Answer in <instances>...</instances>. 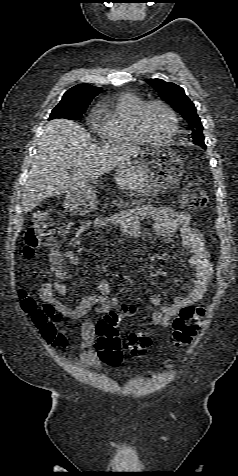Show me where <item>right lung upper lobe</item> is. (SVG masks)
Segmentation results:
<instances>
[{
	"mask_svg": "<svg viewBox=\"0 0 238 476\" xmlns=\"http://www.w3.org/2000/svg\"><path fill=\"white\" fill-rule=\"evenodd\" d=\"M100 91L101 88L87 83L78 84L65 92L62 100L89 105L92 99L97 96Z\"/></svg>",
	"mask_w": 238,
	"mask_h": 476,
	"instance_id": "right-lung-upper-lobe-1",
	"label": "right lung upper lobe"
}]
</instances>
